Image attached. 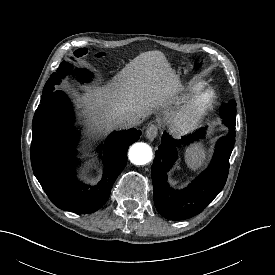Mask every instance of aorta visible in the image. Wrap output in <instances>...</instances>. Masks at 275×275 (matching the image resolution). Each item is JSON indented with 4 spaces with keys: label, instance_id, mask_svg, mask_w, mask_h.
I'll return each mask as SVG.
<instances>
[{
    "label": "aorta",
    "instance_id": "aorta-1",
    "mask_svg": "<svg viewBox=\"0 0 275 275\" xmlns=\"http://www.w3.org/2000/svg\"><path fill=\"white\" fill-rule=\"evenodd\" d=\"M129 160L135 165H145L153 158L151 147L146 143L133 144L128 152Z\"/></svg>",
    "mask_w": 275,
    "mask_h": 275
}]
</instances>
